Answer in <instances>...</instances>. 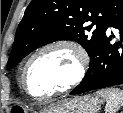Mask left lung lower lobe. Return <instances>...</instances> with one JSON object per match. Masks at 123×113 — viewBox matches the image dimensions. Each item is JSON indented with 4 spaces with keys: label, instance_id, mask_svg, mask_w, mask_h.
<instances>
[{
    "label": "left lung lower lobe",
    "instance_id": "left-lung-lower-lobe-1",
    "mask_svg": "<svg viewBox=\"0 0 123 113\" xmlns=\"http://www.w3.org/2000/svg\"><path fill=\"white\" fill-rule=\"evenodd\" d=\"M106 13V30L117 29L120 40L111 44L112 35L105 36L92 56L88 72L70 95L123 84V0H111Z\"/></svg>",
    "mask_w": 123,
    "mask_h": 113
}]
</instances>
